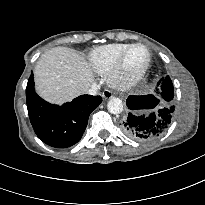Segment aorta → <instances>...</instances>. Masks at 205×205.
Masks as SVG:
<instances>
[{
  "instance_id": "1",
  "label": "aorta",
  "mask_w": 205,
  "mask_h": 205,
  "mask_svg": "<svg viewBox=\"0 0 205 205\" xmlns=\"http://www.w3.org/2000/svg\"><path fill=\"white\" fill-rule=\"evenodd\" d=\"M107 109L111 114H120L123 111V102L119 98H111L108 101Z\"/></svg>"
}]
</instances>
